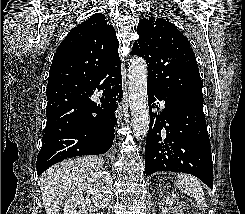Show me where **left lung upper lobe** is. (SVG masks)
Instances as JSON below:
<instances>
[{
  "mask_svg": "<svg viewBox=\"0 0 245 214\" xmlns=\"http://www.w3.org/2000/svg\"><path fill=\"white\" fill-rule=\"evenodd\" d=\"M137 34L132 54L146 60L148 87L170 96L203 98L195 54L188 39L172 23L144 18L139 21Z\"/></svg>",
  "mask_w": 245,
  "mask_h": 214,
  "instance_id": "1",
  "label": "left lung upper lobe"
}]
</instances>
